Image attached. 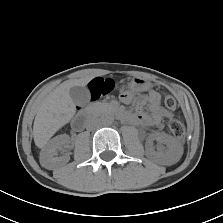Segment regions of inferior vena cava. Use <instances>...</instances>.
Segmentation results:
<instances>
[{
  "label": "inferior vena cava",
  "mask_w": 223,
  "mask_h": 223,
  "mask_svg": "<svg viewBox=\"0 0 223 223\" xmlns=\"http://www.w3.org/2000/svg\"><path fill=\"white\" fill-rule=\"evenodd\" d=\"M101 121L99 118H93L89 120L86 124L88 130H94L100 127Z\"/></svg>",
  "instance_id": "inferior-vena-cava-1"
}]
</instances>
